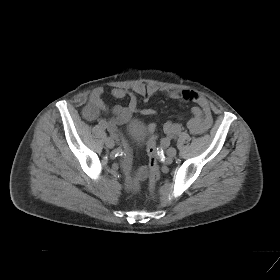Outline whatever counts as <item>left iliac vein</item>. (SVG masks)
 I'll return each instance as SVG.
<instances>
[{"mask_svg":"<svg viewBox=\"0 0 280 280\" xmlns=\"http://www.w3.org/2000/svg\"><path fill=\"white\" fill-rule=\"evenodd\" d=\"M176 153H177V151L173 147L168 148L167 151H166V154L169 158L175 157Z\"/></svg>","mask_w":280,"mask_h":280,"instance_id":"obj_1","label":"left iliac vein"}]
</instances>
